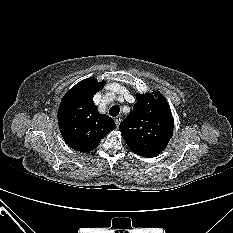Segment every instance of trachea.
<instances>
[{"label": "trachea", "instance_id": "1", "mask_svg": "<svg viewBox=\"0 0 233 233\" xmlns=\"http://www.w3.org/2000/svg\"><path fill=\"white\" fill-rule=\"evenodd\" d=\"M120 112V108L118 106H112L110 109H109V114L112 116V117H116Z\"/></svg>", "mask_w": 233, "mask_h": 233}]
</instances>
